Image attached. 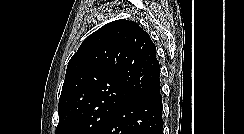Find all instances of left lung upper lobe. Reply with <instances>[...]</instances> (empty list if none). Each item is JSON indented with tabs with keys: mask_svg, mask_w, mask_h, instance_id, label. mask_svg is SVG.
Instances as JSON below:
<instances>
[{
	"mask_svg": "<svg viewBox=\"0 0 244 134\" xmlns=\"http://www.w3.org/2000/svg\"><path fill=\"white\" fill-rule=\"evenodd\" d=\"M156 47L125 19L88 36L70 59L58 104L56 134H101L128 98L160 87Z\"/></svg>",
	"mask_w": 244,
	"mask_h": 134,
	"instance_id": "obj_1",
	"label": "left lung upper lobe"
}]
</instances>
